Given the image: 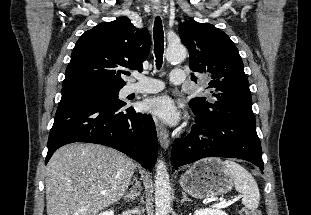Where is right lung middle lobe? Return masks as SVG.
Listing matches in <instances>:
<instances>
[{
  "label": "right lung middle lobe",
  "instance_id": "1",
  "mask_svg": "<svg viewBox=\"0 0 311 215\" xmlns=\"http://www.w3.org/2000/svg\"><path fill=\"white\" fill-rule=\"evenodd\" d=\"M121 88L93 83H75L63 86L59 105L67 103H89L101 107L124 106L118 100Z\"/></svg>",
  "mask_w": 311,
  "mask_h": 215
}]
</instances>
